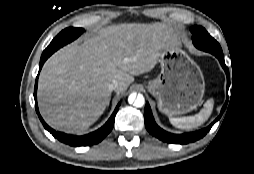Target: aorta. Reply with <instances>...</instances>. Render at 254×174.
Returning a JSON list of instances; mask_svg holds the SVG:
<instances>
[{
	"mask_svg": "<svg viewBox=\"0 0 254 174\" xmlns=\"http://www.w3.org/2000/svg\"><path fill=\"white\" fill-rule=\"evenodd\" d=\"M128 102L130 104H133L134 107H142L145 103V98L142 94H136V93H132L129 98H128Z\"/></svg>",
	"mask_w": 254,
	"mask_h": 174,
	"instance_id": "1",
	"label": "aorta"
}]
</instances>
